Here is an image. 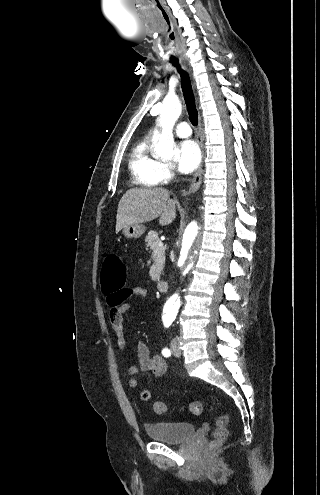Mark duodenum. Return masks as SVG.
<instances>
[{
    "label": "duodenum",
    "instance_id": "obj_1",
    "mask_svg": "<svg viewBox=\"0 0 320 495\" xmlns=\"http://www.w3.org/2000/svg\"><path fill=\"white\" fill-rule=\"evenodd\" d=\"M157 288L159 291L161 292H166L169 288V284L167 281L165 280H160L157 284Z\"/></svg>",
    "mask_w": 320,
    "mask_h": 495
}]
</instances>
